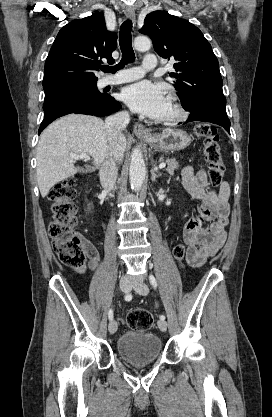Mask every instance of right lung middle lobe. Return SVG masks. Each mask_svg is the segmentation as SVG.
<instances>
[{"label":"right lung middle lobe","instance_id":"right-lung-middle-lobe-1","mask_svg":"<svg viewBox=\"0 0 272 417\" xmlns=\"http://www.w3.org/2000/svg\"><path fill=\"white\" fill-rule=\"evenodd\" d=\"M44 91L45 100L43 109H46L49 105L53 104L54 102L65 98L82 97L93 100H99L106 97L104 93H101L97 89L96 83L64 85Z\"/></svg>","mask_w":272,"mask_h":417}]
</instances>
